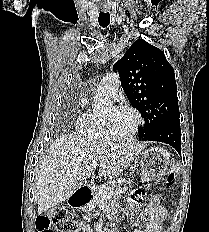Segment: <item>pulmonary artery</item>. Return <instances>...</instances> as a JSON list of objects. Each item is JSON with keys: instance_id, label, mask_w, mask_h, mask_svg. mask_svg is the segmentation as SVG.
<instances>
[{"instance_id": "1", "label": "pulmonary artery", "mask_w": 209, "mask_h": 232, "mask_svg": "<svg viewBox=\"0 0 209 232\" xmlns=\"http://www.w3.org/2000/svg\"><path fill=\"white\" fill-rule=\"evenodd\" d=\"M98 91L108 97H115L119 89V78L115 72L107 73L97 87Z\"/></svg>"}]
</instances>
